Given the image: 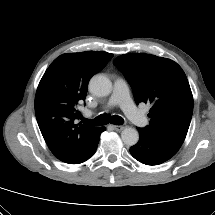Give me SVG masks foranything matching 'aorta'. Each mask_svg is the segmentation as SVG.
Returning a JSON list of instances; mask_svg holds the SVG:
<instances>
[{"label":"aorta","instance_id":"762f6f07","mask_svg":"<svg viewBox=\"0 0 215 215\" xmlns=\"http://www.w3.org/2000/svg\"><path fill=\"white\" fill-rule=\"evenodd\" d=\"M89 91L98 97L108 96L112 91V82L104 75H95L89 82ZM121 138L127 146L137 144L139 133L135 128L127 127L121 133Z\"/></svg>","mask_w":215,"mask_h":215}]
</instances>
